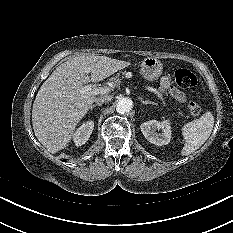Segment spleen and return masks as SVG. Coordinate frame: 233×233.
<instances>
[{
  "instance_id": "obj_1",
  "label": "spleen",
  "mask_w": 233,
  "mask_h": 233,
  "mask_svg": "<svg viewBox=\"0 0 233 233\" xmlns=\"http://www.w3.org/2000/svg\"><path fill=\"white\" fill-rule=\"evenodd\" d=\"M214 126V116L210 111L205 112L199 119L193 120L182 127L184 146L182 156H188L198 150L210 137Z\"/></svg>"
}]
</instances>
